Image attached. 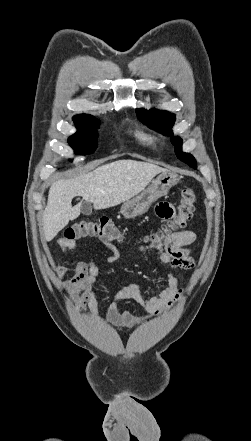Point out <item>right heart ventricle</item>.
Here are the masks:
<instances>
[{
  "label": "right heart ventricle",
  "mask_w": 251,
  "mask_h": 441,
  "mask_svg": "<svg viewBox=\"0 0 251 441\" xmlns=\"http://www.w3.org/2000/svg\"><path fill=\"white\" fill-rule=\"evenodd\" d=\"M132 134L138 141L148 146H153L157 142L156 136L139 127L133 128Z\"/></svg>",
  "instance_id": "e07e8e85"
}]
</instances>
